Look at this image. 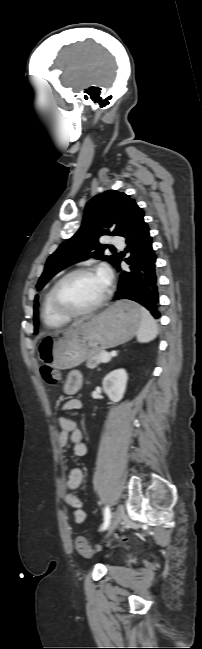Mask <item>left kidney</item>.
I'll return each instance as SVG.
<instances>
[{"mask_svg": "<svg viewBox=\"0 0 202 649\" xmlns=\"http://www.w3.org/2000/svg\"><path fill=\"white\" fill-rule=\"evenodd\" d=\"M128 375L124 369L110 372L102 381L105 393L113 402H119L126 391Z\"/></svg>", "mask_w": 202, "mask_h": 649, "instance_id": "obj_1", "label": "left kidney"}]
</instances>
